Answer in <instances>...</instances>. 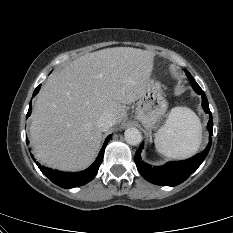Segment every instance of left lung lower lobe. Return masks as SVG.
Returning <instances> with one entry per match:
<instances>
[{"instance_id":"1","label":"left lung lower lobe","mask_w":233,"mask_h":233,"mask_svg":"<svg viewBox=\"0 0 233 233\" xmlns=\"http://www.w3.org/2000/svg\"><path fill=\"white\" fill-rule=\"evenodd\" d=\"M193 89L202 95V107L206 113L209 114L210 119L207 125V128L210 133V137L213 134V121L212 115L209 109L208 100L200 88V86L196 83L193 79L192 81ZM211 139L206 147V149L202 152L197 154L196 156L179 162H169L163 167H152L143 161L140 158V152L143 148V143L140 145L138 151L135 154V163L139 173L149 182L162 185V186H176L185 181L197 168L201 165L204 161L205 157L207 156L210 147H211Z\"/></svg>"}]
</instances>
